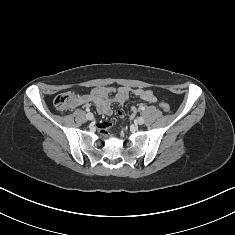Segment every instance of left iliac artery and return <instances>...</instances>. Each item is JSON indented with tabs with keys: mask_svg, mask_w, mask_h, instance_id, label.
Listing matches in <instances>:
<instances>
[{
	"mask_svg": "<svg viewBox=\"0 0 235 235\" xmlns=\"http://www.w3.org/2000/svg\"><path fill=\"white\" fill-rule=\"evenodd\" d=\"M141 111L145 110V107L144 106H140L139 108Z\"/></svg>",
	"mask_w": 235,
	"mask_h": 235,
	"instance_id": "44dca946",
	"label": "left iliac artery"
}]
</instances>
